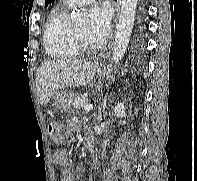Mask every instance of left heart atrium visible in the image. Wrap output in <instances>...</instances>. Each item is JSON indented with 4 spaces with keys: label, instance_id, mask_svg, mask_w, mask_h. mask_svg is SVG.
<instances>
[{
    "label": "left heart atrium",
    "instance_id": "left-heart-atrium-1",
    "mask_svg": "<svg viewBox=\"0 0 197 181\" xmlns=\"http://www.w3.org/2000/svg\"><path fill=\"white\" fill-rule=\"evenodd\" d=\"M111 13L106 6H93L89 10L87 34L95 42H101L110 30Z\"/></svg>",
    "mask_w": 197,
    "mask_h": 181
}]
</instances>
